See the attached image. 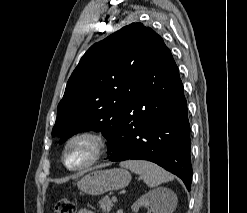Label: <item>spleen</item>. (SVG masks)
I'll use <instances>...</instances> for the list:
<instances>
[{
  "label": "spleen",
  "mask_w": 247,
  "mask_h": 213,
  "mask_svg": "<svg viewBox=\"0 0 247 213\" xmlns=\"http://www.w3.org/2000/svg\"><path fill=\"white\" fill-rule=\"evenodd\" d=\"M120 166L127 168L136 174L143 175L145 183L151 188L174 179L172 174L149 161L128 160L121 162ZM161 192L166 196H172V193L166 189H162ZM174 206L175 201H172V203L165 209V213H170Z\"/></svg>",
  "instance_id": "3e777b00"
}]
</instances>
